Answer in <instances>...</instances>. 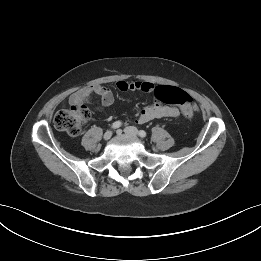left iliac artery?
Wrapping results in <instances>:
<instances>
[{
    "mask_svg": "<svg viewBox=\"0 0 261 261\" xmlns=\"http://www.w3.org/2000/svg\"><path fill=\"white\" fill-rule=\"evenodd\" d=\"M139 135H140V137L144 138V137H146L147 134L144 130H140Z\"/></svg>",
    "mask_w": 261,
    "mask_h": 261,
    "instance_id": "obj_1",
    "label": "left iliac artery"
}]
</instances>
